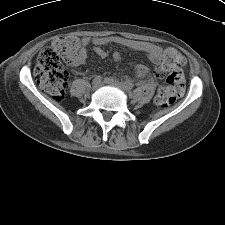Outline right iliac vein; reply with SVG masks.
I'll use <instances>...</instances> for the list:
<instances>
[{
    "mask_svg": "<svg viewBox=\"0 0 225 225\" xmlns=\"http://www.w3.org/2000/svg\"><path fill=\"white\" fill-rule=\"evenodd\" d=\"M100 86H101V83H93V85H92V90H97L98 88H100Z\"/></svg>",
    "mask_w": 225,
    "mask_h": 225,
    "instance_id": "right-iliac-vein-1",
    "label": "right iliac vein"
}]
</instances>
